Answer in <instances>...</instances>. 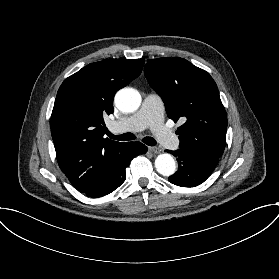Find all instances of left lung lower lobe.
I'll return each instance as SVG.
<instances>
[{"label": "left lung lower lobe", "mask_w": 279, "mask_h": 279, "mask_svg": "<svg viewBox=\"0 0 279 279\" xmlns=\"http://www.w3.org/2000/svg\"><path fill=\"white\" fill-rule=\"evenodd\" d=\"M166 151L176 156L179 163L178 171L169 177V181L181 187H194L204 182L219 161V158L181 147L174 152Z\"/></svg>", "instance_id": "1"}]
</instances>
